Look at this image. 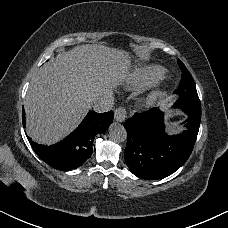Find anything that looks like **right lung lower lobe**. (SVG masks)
Segmentation results:
<instances>
[{
  "instance_id": "right-lung-lower-lobe-1",
  "label": "right lung lower lobe",
  "mask_w": 228,
  "mask_h": 228,
  "mask_svg": "<svg viewBox=\"0 0 228 228\" xmlns=\"http://www.w3.org/2000/svg\"><path fill=\"white\" fill-rule=\"evenodd\" d=\"M25 112H23L24 122ZM113 121V112L89 111L81 124L65 139L51 146L39 145L28 140L35 153L49 166L58 170L79 167L92 154L95 135L104 133Z\"/></svg>"
}]
</instances>
